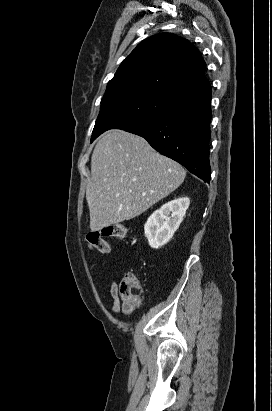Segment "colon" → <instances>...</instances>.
I'll return each mask as SVG.
<instances>
[{
  "mask_svg": "<svg viewBox=\"0 0 272 411\" xmlns=\"http://www.w3.org/2000/svg\"><path fill=\"white\" fill-rule=\"evenodd\" d=\"M124 223H112L101 230L91 232L87 236L90 247L100 253H110L111 248L107 238H124L127 234ZM141 294V286L136 274L128 272L121 279L118 287V297L122 302L123 310L130 313L136 307Z\"/></svg>",
  "mask_w": 272,
  "mask_h": 411,
  "instance_id": "obj_1",
  "label": "colon"
}]
</instances>
